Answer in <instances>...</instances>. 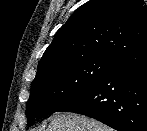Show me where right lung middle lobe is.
Masks as SVG:
<instances>
[{"instance_id":"1","label":"right lung middle lobe","mask_w":147,"mask_h":131,"mask_svg":"<svg viewBox=\"0 0 147 131\" xmlns=\"http://www.w3.org/2000/svg\"><path fill=\"white\" fill-rule=\"evenodd\" d=\"M116 62L103 57H89L36 74L26 108L28 124L32 125L36 117L59 111L81 96L99 82Z\"/></svg>"}]
</instances>
